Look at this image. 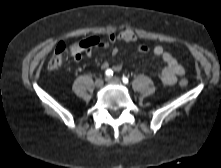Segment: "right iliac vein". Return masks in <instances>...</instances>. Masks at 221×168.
Listing matches in <instances>:
<instances>
[{"label": "right iliac vein", "instance_id": "right-iliac-vein-1", "mask_svg": "<svg viewBox=\"0 0 221 168\" xmlns=\"http://www.w3.org/2000/svg\"><path fill=\"white\" fill-rule=\"evenodd\" d=\"M102 86H103V79H101V78L96 79L95 87L100 88Z\"/></svg>", "mask_w": 221, "mask_h": 168}]
</instances>
